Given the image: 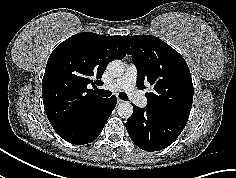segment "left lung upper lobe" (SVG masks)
I'll use <instances>...</instances> for the list:
<instances>
[{
    "mask_svg": "<svg viewBox=\"0 0 236 178\" xmlns=\"http://www.w3.org/2000/svg\"><path fill=\"white\" fill-rule=\"evenodd\" d=\"M138 70L137 85L153 86L146 93L148 108L188 121L193 102V83L184 58L155 36H125Z\"/></svg>",
    "mask_w": 236,
    "mask_h": 178,
    "instance_id": "obj_1",
    "label": "left lung upper lobe"
}]
</instances>
